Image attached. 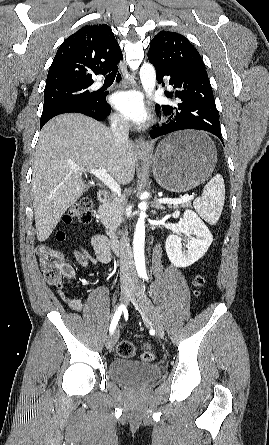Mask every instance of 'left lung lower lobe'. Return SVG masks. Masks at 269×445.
<instances>
[{
	"label": "left lung lower lobe",
	"mask_w": 269,
	"mask_h": 445,
	"mask_svg": "<svg viewBox=\"0 0 269 445\" xmlns=\"http://www.w3.org/2000/svg\"><path fill=\"white\" fill-rule=\"evenodd\" d=\"M159 83L168 76L169 84L176 88L172 94L178 98L175 105L157 106L158 112L166 116L165 122L155 128L152 138L184 129L208 131L222 141L221 128L212 87L206 71L168 69L153 64ZM224 144V143H223Z\"/></svg>",
	"instance_id": "1"
}]
</instances>
